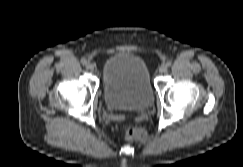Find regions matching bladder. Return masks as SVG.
I'll return each instance as SVG.
<instances>
[{"label": "bladder", "instance_id": "31cf9c89", "mask_svg": "<svg viewBox=\"0 0 243 167\" xmlns=\"http://www.w3.org/2000/svg\"><path fill=\"white\" fill-rule=\"evenodd\" d=\"M103 98L111 109L144 111L152 107L154 92L146 62L130 52H117L103 65Z\"/></svg>", "mask_w": 243, "mask_h": 167}]
</instances>
